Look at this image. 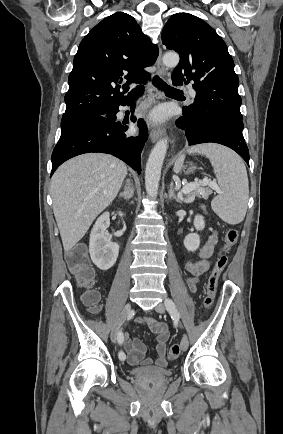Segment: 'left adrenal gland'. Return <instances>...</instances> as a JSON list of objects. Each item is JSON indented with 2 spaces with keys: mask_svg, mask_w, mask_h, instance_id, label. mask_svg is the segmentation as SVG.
Returning <instances> with one entry per match:
<instances>
[{
  "mask_svg": "<svg viewBox=\"0 0 283 434\" xmlns=\"http://www.w3.org/2000/svg\"><path fill=\"white\" fill-rule=\"evenodd\" d=\"M173 186H174V183L173 182H171V184H170V188H169V199H174V200H176L178 203H182V200L179 198V197H177L176 195H175V192H174V190H173Z\"/></svg>",
  "mask_w": 283,
  "mask_h": 434,
  "instance_id": "obj_1",
  "label": "left adrenal gland"
}]
</instances>
